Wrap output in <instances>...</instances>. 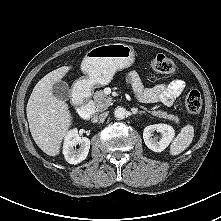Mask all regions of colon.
Segmentation results:
<instances>
[{"mask_svg":"<svg viewBox=\"0 0 221 221\" xmlns=\"http://www.w3.org/2000/svg\"><path fill=\"white\" fill-rule=\"evenodd\" d=\"M152 68L159 73L170 74L175 70V64L166 55L158 54L151 61ZM185 108L191 115H196L201 111L202 98L197 90H191L185 97Z\"/></svg>","mask_w":221,"mask_h":221,"instance_id":"5ec220e1","label":"colon"}]
</instances>
